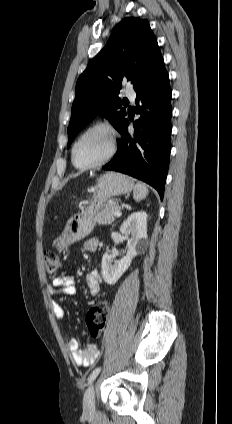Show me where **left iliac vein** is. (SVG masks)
I'll use <instances>...</instances> for the list:
<instances>
[{
  "label": "left iliac vein",
  "mask_w": 232,
  "mask_h": 424,
  "mask_svg": "<svg viewBox=\"0 0 232 424\" xmlns=\"http://www.w3.org/2000/svg\"><path fill=\"white\" fill-rule=\"evenodd\" d=\"M83 410L85 414H91L95 410L94 385H90L85 392Z\"/></svg>",
  "instance_id": "left-iliac-vein-1"
}]
</instances>
